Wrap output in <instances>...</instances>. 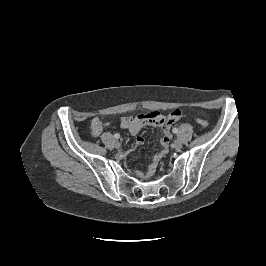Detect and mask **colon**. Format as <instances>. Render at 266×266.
I'll use <instances>...</instances> for the list:
<instances>
[{
	"label": "colon",
	"mask_w": 266,
	"mask_h": 266,
	"mask_svg": "<svg viewBox=\"0 0 266 266\" xmlns=\"http://www.w3.org/2000/svg\"><path fill=\"white\" fill-rule=\"evenodd\" d=\"M196 122L201 127H207L208 126V122L204 119L198 118V119H196Z\"/></svg>",
	"instance_id": "1"
}]
</instances>
